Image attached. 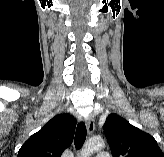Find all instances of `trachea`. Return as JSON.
Instances as JSON below:
<instances>
[{
  "label": "trachea",
  "instance_id": "3493384b",
  "mask_svg": "<svg viewBox=\"0 0 164 157\" xmlns=\"http://www.w3.org/2000/svg\"><path fill=\"white\" fill-rule=\"evenodd\" d=\"M87 131L84 122H80L77 125L76 135H75V148L80 149L86 139Z\"/></svg>",
  "mask_w": 164,
  "mask_h": 157
}]
</instances>
